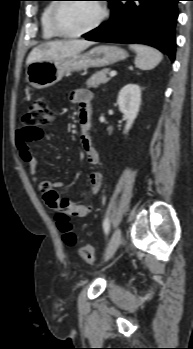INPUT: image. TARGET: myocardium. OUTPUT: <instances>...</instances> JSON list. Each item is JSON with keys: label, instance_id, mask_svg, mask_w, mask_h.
<instances>
[{"label": "myocardium", "instance_id": "f54148a6", "mask_svg": "<svg viewBox=\"0 0 193 349\" xmlns=\"http://www.w3.org/2000/svg\"><path fill=\"white\" fill-rule=\"evenodd\" d=\"M58 1L60 2H56L51 9L50 16H49V23L53 32L59 37L72 39V38H78V37L84 36L96 30L99 26H101V24L107 19L109 14L108 7L105 4V2H102L101 0H94V1H98L96 3L100 8V15L97 18V20L91 26L79 32H75V33L65 32L60 28L57 17L61 7L67 2H65V0H58Z\"/></svg>", "mask_w": 193, "mask_h": 349}]
</instances>
